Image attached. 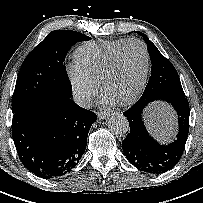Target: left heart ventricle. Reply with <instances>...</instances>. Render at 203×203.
I'll return each instance as SVG.
<instances>
[{"instance_id": "b2bd125f", "label": "left heart ventricle", "mask_w": 203, "mask_h": 203, "mask_svg": "<svg viewBox=\"0 0 203 203\" xmlns=\"http://www.w3.org/2000/svg\"><path fill=\"white\" fill-rule=\"evenodd\" d=\"M145 65L142 47L137 43L127 45L121 52L117 66L109 78L105 94L114 101L130 97L136 90Z\"/></svg>"}]
</instances>
